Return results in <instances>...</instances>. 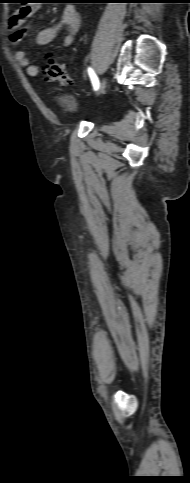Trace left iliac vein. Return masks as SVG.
Returning <instances> with one entry per match:
<instances>
[{
	"instance_id": "1",
	"label": "left iliac vein",
	"mask_w": 190,
	"mask_h": 483,
	"mask_svg": "<svg viewBox=\"0 0 190 483\" xmlns=\"http://www.w3.org/2000/svg\"><path fill=\"white\" fill-rule=\"evenodd\" d=\"M106 85H107V78L106 77H103L100 81V84H99V90L100 92H103L106 88Z\"/></svg>"
}]
</instances>
